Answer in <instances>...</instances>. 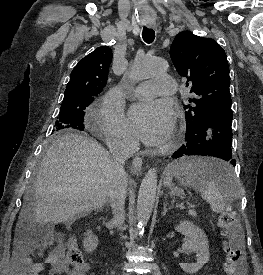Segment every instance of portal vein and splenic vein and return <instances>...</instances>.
I'll return each mask as SVG.
<instances>
[{
	"instance_id": "portal-vein-and-splenic-vein-1",
	"label": "portal vein and splenic vein",
	"mask_w": 263,
	"mask_h": 275,
	"mask_svg": "<svg viewBox=\"0 0 263 275\" xmlns=\"http://www.w3.org/2000/svg\"><path fill=\"white\" fill-rule=\"evenodd\" d=\"M188 207L191 208V207H193V206H192V205H189Z\"/></svg>"
}]
</instances>
